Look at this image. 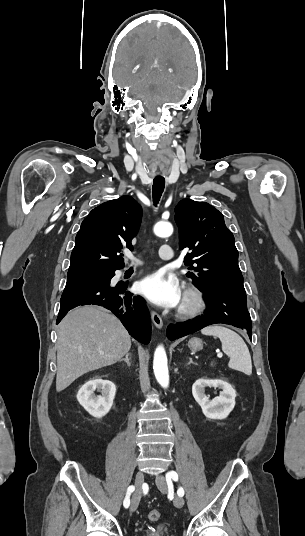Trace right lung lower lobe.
<instances>
[{
    "label": "right lung lower lobe",
    "instance_id": "1",
    "mask_svg": "<svg viewBox=\"0 0 305 536\" xmlns=\"http://www.w3.org/2000/svg\"><path fill=\"white\" fill-rule=\"evenodd\" d=\"M100 305L111 310L123 323L129 334L143 344L151 338L150 314L142 298L127 291V284L95 282L67 283L61 297L56 323L72 308L79 305Z\"/></svg>",
    "mask_w": 305,
    "mask_h": 536
}]
</instances>
